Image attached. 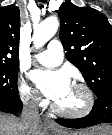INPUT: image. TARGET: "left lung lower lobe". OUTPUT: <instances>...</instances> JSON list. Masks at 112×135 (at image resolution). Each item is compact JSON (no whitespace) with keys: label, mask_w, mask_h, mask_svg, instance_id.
I'll return each instance as SVG.
<instances>
[{"label":"left lung lower lobe","mask_w":112,"mask_h":135,"mask_svg":"<svg viewBox=\"0 0 112 135\" xmlns=\"http://www.w3.org/2000/svg\"><path fill=\"white\" fill-rule=\"evenodd\" d=\"M56 122L68 128H86L101 123H112V94L99 97L92 111L83 118L57 119Z\"/></svg>","instance_id":"0a47b994"}]
</instances>
